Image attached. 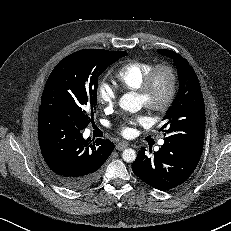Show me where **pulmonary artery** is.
Segmentation results:
<instances>
[{
	"label": "pulmonary artery",
	"instance_id": "e3ab8cb5",
	"mask_svg": "<svg viewBox=\"0 0 231 231\" xmlns=\"http://www.w3.org/2000/svg\"><path fill=\"white\" fill-rule=\"evenodd\" d=\"M163 143H164V141H163V140H161V141L159 142V144H160V145H162Z\"/></svg>",
	"mask_w": 231,
	"mask_h": 231
}]
</instances>
